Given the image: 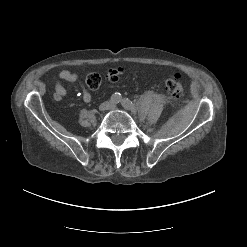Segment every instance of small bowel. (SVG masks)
I'll return each mask as SVG.
<instances>
[{
    "label": "small bowel",
    "instance_id": "1",
    "mask_svg": "<svg viewBox=\"0 0 247 247\" xmlns=\"http://www.w3.org/2000/svg\"><path fill=\"white\" fill-rule=\"evenodd\" d=\"M113 70L116 73L113 75L107 74V76H108L110 81L117 82L119 80V77L123 74V68H115ZM64 81H66V82H80V78H79L78 74L70 72L68 70L60 71L57 75V79H56V83H55L54 99L56 101H61L67 93V90H66L65 86L63 85ZM82 99L84 102H90L92 99L91 94L88 91L83 90Z\"/></svg>",
    "mask_w": 247,
    "mask_h": 247
}]
</instances>
